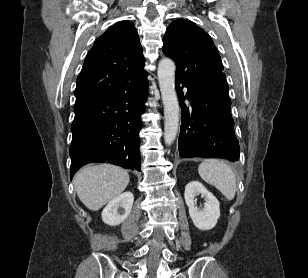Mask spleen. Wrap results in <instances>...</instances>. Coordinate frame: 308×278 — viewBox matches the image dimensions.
I'll use <instances>...</instances> for the list:
<instances>
[{"label": "spleen", "mask_w": 308, "mask_h": 278, "mask_svg": "<svg viewBox=\"0 0 308 278\" xmlns=\"http://www.w3.org/2000/svg\"><path fill=\"white\" fill-rule=\"evenodd\" d=\"M200 177L216 187L227 200H233L236 194V176L232 168L222 160L205 159L198 168Z\"/></svg>", "instance_id": "3e777b00"}]
</instances>
